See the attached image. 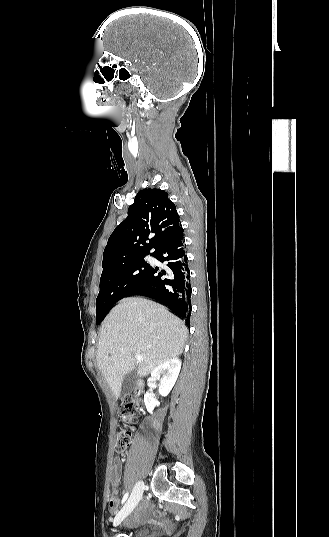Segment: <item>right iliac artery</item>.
<instances>
[{
  "instance_id": "82829eb1",
  "label": "right iliac artery",
  "mask_w": 329,
  "mask_h": 537,
  "mask_svg": "<svg viewBox=\"0 0 329 537\" xmlns=\"http://www.w3.org/2000/svg\"><path fill=\"white\" fill-rule=\"evenodd\" d=\"M128 495H129V492H126L125 495L122 498L121 504H123L127 500Z\"/></svg>"
}]
</instances>
